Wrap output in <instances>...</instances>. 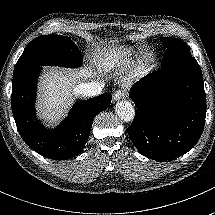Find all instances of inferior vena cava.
I'll list each match as a JSON object with an SVG mask.
<instances>
[{"label": "inferior vena cava", "mask_w": 215, "mask_h": 215, "mask_svg": "<svg viewBox=\"0 0 215 215\" xmlns=\"http://www.w3.org/2000/svg\"><path fill=\"white\" fill-rule=\"evenodd\" d=\"M103 87L104 84L100 82H85L77 86L76 92L78 93V96H81L83 98L95 97L102 93Z\"/></svg>", "instance_id": "1"}]
</instances>
